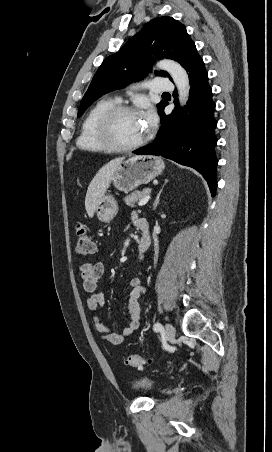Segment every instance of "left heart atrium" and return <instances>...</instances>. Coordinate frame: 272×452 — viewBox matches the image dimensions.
I'll return each mask as SVG.
<instances>
[{"label": "left heart atrium", "instance_id": "1", "mask_svg": "<svg viewBox=\"0 0 272 452\" xmlns=\"http://www.w3.org/2000/svg\"><path fill=\"white\" fill-rule=\"evenodd\" d=\"M144 119H145V124H146L147 129L154 126L156 123V115H155L154 111L148 109L145 112Z\"/></svg>", "mask_w": 272, "mask_h": 452}]
</instances>
